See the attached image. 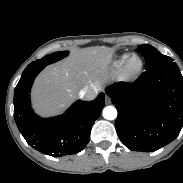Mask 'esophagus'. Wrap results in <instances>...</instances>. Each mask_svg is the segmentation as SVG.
Here are the masks:
<instances>
[{
	"label": "esophagus",
	"mask_w": 183,
	"mask_h": 183,
	"mask_svg": "<svg viewBox=\"0 0 183 183\" xmlns=\"http://www.w3.org/2000/svg\"><path fill=\"white\" fill-rule=\"evenodd\" d=\"M105 102H106V104L111 103V98L108 95H106V97H105Z\"/></svg>",
	"instance_id": "esophagus-1"
}]
</instances>
